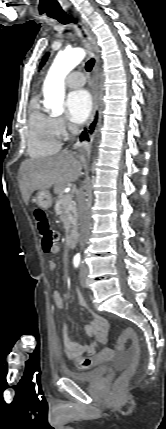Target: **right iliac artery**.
<instances>
[{
	"label": "right iliac artery",
	"instance_id": "obj_1",
	"mask_svg": "<svg viewBox=\"0 0 166 429\" xmlns=\"http://www.w3.org/2000/svg\"><path fill=\"white\" fill-rule=\"evenodd\" d=\"M80 259L81 258H80L79 254H77V255L74 256V258H73L74 267H76V268L79 267V265H80Z\"/></svg>",
	"mask_w": 166,
	"mask_h": 429
}]
</instances>
